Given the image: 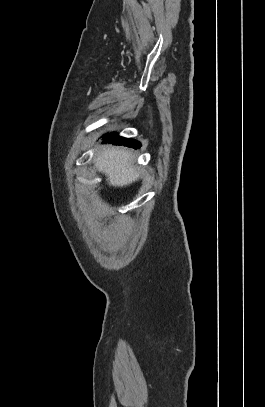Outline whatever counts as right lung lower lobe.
I'll use <instances>...</instances> for the list:
<instances>
[{"label":"right lung lower lobe","mask_w":265,"mask_h":407,"mask_svg":"<svg viewBox=\"0 0 265 407\" xmlns=\"http://www.w3.org/2000/svg\"><path fill=\"white\" fill-rule=\"evenodd\" d=\"M103 140H105V142H111L114 145H123V146H128V147H132V148H139L140 147V143L132 140V139H127V138H123L118 136L115 133H110L108 135H106Z\"/></svg>","instance_id":"right-lung-lower-lobe-1"}]
</instances>
